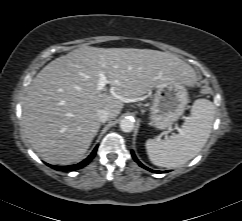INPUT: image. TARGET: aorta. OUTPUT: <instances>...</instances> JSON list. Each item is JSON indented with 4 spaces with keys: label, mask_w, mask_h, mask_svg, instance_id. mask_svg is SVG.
<instances>
[{
    "label": "aorta",
    "mask_w": 242,
    "mask_h": 221,
    "mask_svg": "<svg viewBox=\"0 0 242 221\" xmlns=\"http://www.w3.org/2000/svg\"><path fill=\"white\" fill-rule=\"evenodd\" d=\"M135 127L134 120L131 118H124L120 121V129L123 132H131Z\"/></svg>",
    "instance_id": "aorta-1"
}]
</instances>
